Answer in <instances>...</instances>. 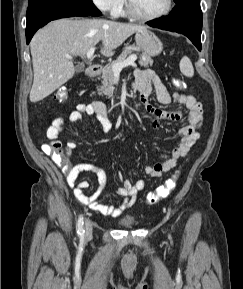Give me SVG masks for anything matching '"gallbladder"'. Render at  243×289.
Listing matches in <instances>:
<instances>
[{
  "label": "gallbladder",
  "mask_w": 243,
  "mask_h": 289,
  "mask_svg": "<svg viewBox=\"0 0 243 289\" xmlns=\"http://www.w3.org/2000/svg\"><path fill=\"white\" fill-rule=\"evenodd\" d=\"M76 71H77L78 73L84 71V66H82V65H77V66H76Z\"/></svg>",
  "instance_id": "bac80fb5"
}]
</instances>
